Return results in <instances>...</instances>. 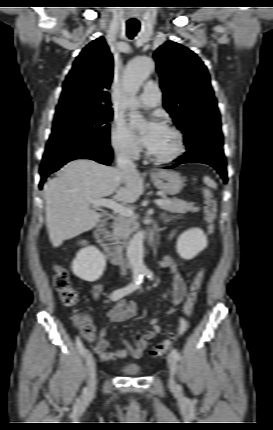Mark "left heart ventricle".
Segmentation results:
<instances>
[{"label":"left heart ventricle","mask_w":273,"mask_h":430,"mask_svg":"<svg viewBox=\"0 0 273 430\" xmlns=\"http://www.w3.org/2000/svg\"><path fill=\"white\" fill-rule=\"evenodd\" d=\"M175 145L174 135L164 129L157 144L150 152L156 156H168L175 150Z\"/></svg>","instance_id":"left-heart-ventricle-1"}]
</instances>
